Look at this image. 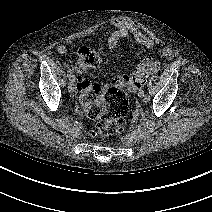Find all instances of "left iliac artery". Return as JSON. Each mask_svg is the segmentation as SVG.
Masks as SVG:
<instances>
[{"label": "left iliac artery", "mask_w": 212, "mask_h": 212, "mask_svg": "<svg viewBox=\"0 0 212 212\" xmlns=\"http://www.w3.org/2000/svg\"><path fill=\"white\" fill-rule=\"evenodd\" d=\"M149 101H150V95L147 92H145V102L147 103Z\"/></svg>", "instance_id": "left-iliac-artery-1"}]
</instances>
